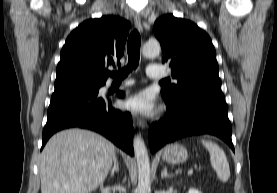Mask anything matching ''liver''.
Here are the masks:
<instances>
[{
    "instance_id": "6515ba94",
    "label": "liver",
    "mask_w": 277,
    "mask_h": 193,
    "mask_svg": "<svg viewBox=\"0 0 277 193\" xmlns=\"http://www.w3.org/2000/svg\"><path fill=\"white\" fill-rule=\"evenodd\" d=\"M116 147L83 129L61 131L45 145L40 161L41 193H90L105 181Z\"/></svg>"
}]
</instances>
